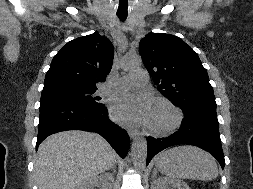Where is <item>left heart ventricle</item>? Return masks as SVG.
Masks as SVG:
<instances>
[{"label":"left heart ventricle","instance_id":"1","mask_svg":"<svg viewBox=\"0 0 253 189\" xmlns=\"http://www.w3.org/2000/svg\"><path fill=\"white\" fill-rule=\"evenodd\" d=\"M170 112L164 108H154L150 124L162 126L169 122Z\"/></svg>","mask_w":253,"mask_h":189}]
</instances>
